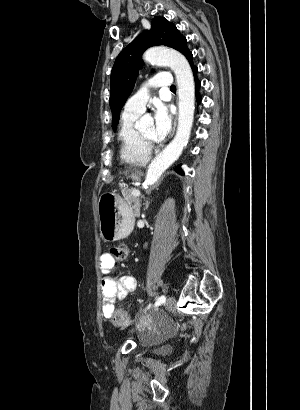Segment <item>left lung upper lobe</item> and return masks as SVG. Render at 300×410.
Returning a JSON list of instances; mask_svg holds the SVG:
<instances>
[{"mask_svg": "<svg viewBox=\"0 0 300 410\" xmlns=\"http://www.w3.org/2000/svg\"><path fill=\"white\" fill-rule=\"evenodd\" d=\"M157 45H165L180 51L186 58L191 53L187 48L186 38L164 17H155L151 30L141 33L119 54L111 72L110 108L113 114L114 131L119 122V114L131 94L139 69L143 52Z\"/></svg>", "mask_w": 300, "mask_h": 410, "instance_id": "5c2ea615", "label": "left lung upper lobe"}]
</instances>
